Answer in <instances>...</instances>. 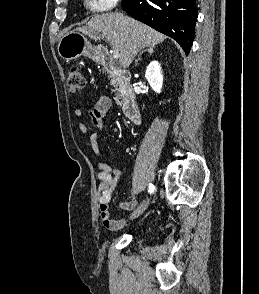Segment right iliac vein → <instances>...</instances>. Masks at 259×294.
<instances>
[{"instance_id": "63e3f726", "label": "right iliac vein", "mask_w": 259, "mask_h": 294, "mask_svg": "<svg viewBox=\"0 0 259 294\" xmlns=\"http://www.w3.org/2000/svg\"><path fill=\"white\" fill-rule=\"evenodd\" d=\"M149 200H145L130 216L131 219H135L143 214L148 206Z\"/></svg>"}]
</instances>
